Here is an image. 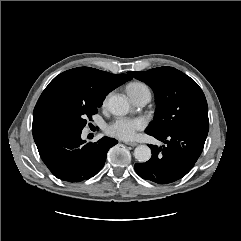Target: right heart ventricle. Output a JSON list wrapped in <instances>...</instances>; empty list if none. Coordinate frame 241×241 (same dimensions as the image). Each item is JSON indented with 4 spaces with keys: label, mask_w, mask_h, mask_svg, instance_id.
<instances>
[{
    "label": "right heart ventricle",
    "mask_w": 241,
    "mask_h": 241,
    "mask_svg": "<svg viewBox=\"0 0 241 241\" xmlns=\"http://www.w3.org/2000/svg\"><path fill=\"white\" fill-rule=\"evenodd\" d=\"M127 91L130 96H133L141 92H146V91L150 92L148 86L143 82H133L129 84Z\"/></svg>",
    "instance_id": "e07e8e85"
}]
</instances>
